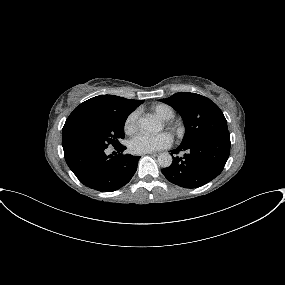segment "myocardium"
<instances>
[{
  "label": "myocardium",
  "instance_id": "myocardium-1",
  "mask_svg": "<svg viewBox=\"0 0 285 285\" xmlns=\"http://www.w3.org/2000/svg\"><path fill=\"white\" fill-rule=\"evenodd\" d=\"M163 127L171 134H173L174 136L180 137L183 133V130L181 128V126L173 121L172 119L170 120H163Z\"/></svg>",
  "mask_w": 285,
  "mask_h": 285
}]
</instances>
